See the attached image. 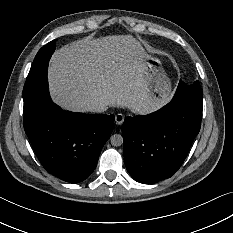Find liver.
<instances>
[{"label": "liver", "mask_w": 233, "mask_h": 233, "mask_svg": "<svg viewBox=\"0 0 233 233\" xmlns=\"http://www.w3.org/2000/svg\"><path fill=\"white\" fill-rule=\"evenodd\" d=\"M139 42L132 35L84 37L53 53L48 66L51 101L65 111L88 113L97 101L105 106L149 115L158 109L147 96Z\"/></svg>", "instance_id": "6515ba94"}]
</instances>
